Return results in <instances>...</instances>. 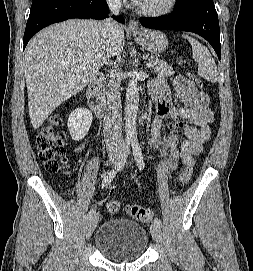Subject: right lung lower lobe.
Listing matches in <instances>:
<instances>
[{"label": "right lung lower lobe", "mask_w": 253, "mask_h": 271, "mask_svg": "<svg viewBox=\"0 0 253 271\" xmlns=\"http://www.w3.org/2000/svg\"><path fill=\"white\" fill-rule=\"evenodd\" d=\"M108 6L105 0H35L24 33V49L31 37L42 28L71 18L104 19ZM123 23L122 16H113Z\"/></svg>", "instance_id": "right-lung-lower-lobe-1"}]
</instances>
